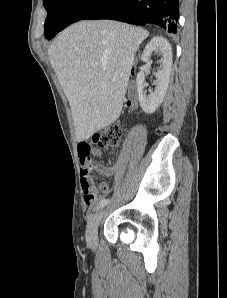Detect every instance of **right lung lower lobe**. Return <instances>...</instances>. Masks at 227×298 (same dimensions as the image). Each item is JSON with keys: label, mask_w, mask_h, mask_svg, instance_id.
<instances>
[{"label": "right lung lower lobe", "mask_w": 227, "mask_h": 298, "mask_svg": "<svg viewBox=\"0 0 227 298\" xmlns=\"http://www.w3.org/2000/svg\"><path fill=\"white\" fill-rule=\"evenodd\" d=\"M178 0H102L83 19H113L134 25L156 24L177 32Z\"/></svg>", "instance_id": "right-lung-lower-lobe-1"}]
</instances>
